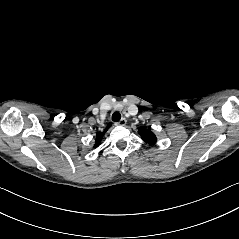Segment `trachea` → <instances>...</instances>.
<instances>
[{"label": "trachea", "instance_id": "1", "mask_svg": "<svg viewBox=\"0 0 239 239\" xmlns=\"http://www.w3.org/2000/svg\"><path fill=\"white\" fill-rule=\"evenodd\" d=\"M120 119H121V114L119 112H114L112 114V120L114 122H118V121H120Z\"/></svg>", "mask_w": 239, "mask_h": 239}]
</instances>
